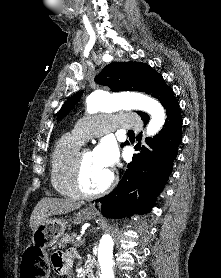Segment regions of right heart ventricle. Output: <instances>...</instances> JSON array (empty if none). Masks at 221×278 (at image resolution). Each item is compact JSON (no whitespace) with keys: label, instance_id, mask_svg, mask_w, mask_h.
Returning <instances> with one entry per match:
<instances>
[{"label":"right heart ventricle","instance_id":"e07e8e85","mask_svg":"<svg viewBox=\"0 0 221 278\" xmlns=\"http://www.w3.org/2000/svg\"><path fill=\"white\" fill-rule=\"evenodd\" d=\"M83 141L73 134L62 136L50 157V180L54 190L63 197L78 199L70 184L72 161Z\"/></svg>","mask_w":221,"mask_h":278}]
</instances>
